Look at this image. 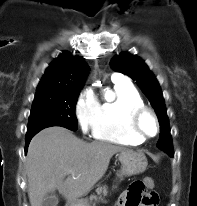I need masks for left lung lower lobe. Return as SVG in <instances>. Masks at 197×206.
Returning <instances> with one entry per match:
<instances>
[{
    "label": "left lung lower lobe",
    "mask_w": 197,
    "mask_h": 206,
    "mask_svg": "<svg viewBox=\"0 0 197 206\" xmlns=\"http://www.w3.org/2000/svg\"><path fill=\"white\" fill-rule=\"evenodd\" d=\"M166 153H168L170 156H173V150L167 151Z\"/></svg>",
    "instance_id": "obj_1"
}]
</instances>
